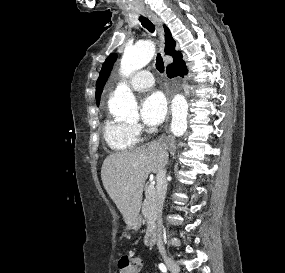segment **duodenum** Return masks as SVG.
Segmentation results:
<instances>
[{
    "instance_id": "1",
    "label": "duodenum",
    "mask_w": 285,
    "mask_h": 273,
    "mask_svg": "<svg viewBox=\"0 0 285 273\" xmlns=\"http://www.w3.org/2000/svg\"><path fill=\"white\" fill-rule=\"evenodd\" d=\"M156 240V225L151 224L149 230L145 234L144 242L147 246H151Z\"/></svg>"
}]
</instances>
